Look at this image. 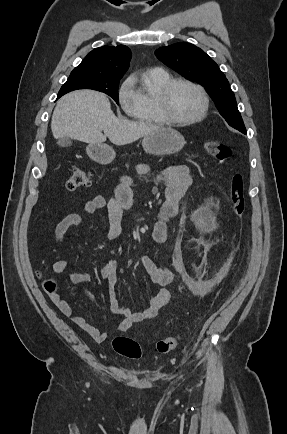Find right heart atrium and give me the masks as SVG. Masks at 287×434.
Segmentation results:
<instances>
[{
  "label": "right heart atrium",
  "mask_w": 287,
  "mask_h": 434,
  "mask_svg": "<svg viewBox=\"0 0 287 434\" xmlns=\"http://www.w3.org/2000/svg\"><path fill=\"white\" fill-rule=\"evenodd\" d=\"M118 100L123 109L127 114H132L139 105V93L135 86L134 76L127 77L118 90Z\"/></svg>",
  "instance_id": "right-heart-atrium-1"
}]
</instances>
